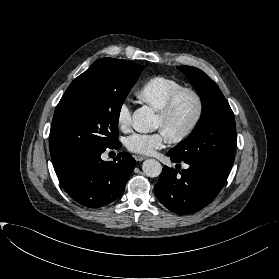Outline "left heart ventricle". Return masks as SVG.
<instances>
[{
    "label": "left heart ventricle",
    "instance_id": "obj_1",
    "mask_svg": "<svg viewBox=\"0 0 279 279\" xmlns=\"http://www.w3.org/2000/svg\"><path fill=\"white\" fill-rule=\"evenodd\" d=\"M196 112V102L190 95H182L167 120L159 116L156 120V129L161 130L168 138L182 132L192 121Z\"/></svg>",
    "mask_w": 279,
    "mask_h": 279
}]
</instances>
